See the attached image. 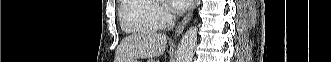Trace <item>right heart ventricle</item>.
Masks as SVG:
<instances>
[{"label": "right heart ventricle", "instance_id": "right-heart-ventricle-1", "mask_svg": "<svg viewBox=\"0 0 331 62\" xmlns=\"http://www.w3.org/2000/svg\"><path fill=\"white\" fill-rule=\"evenodd\" d=\"M154 9L149 0H122L119 8L121 27L129 33L155 32L158 25L153 18Z\"/></svg>", "mask_w": 331, "mask_h": 62}]
</instances>
